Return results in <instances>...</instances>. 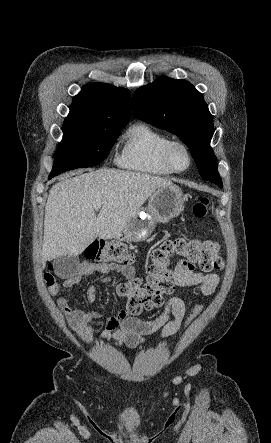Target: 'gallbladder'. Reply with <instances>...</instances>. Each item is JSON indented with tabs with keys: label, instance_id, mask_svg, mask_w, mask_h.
Listing matches in <instances>:
<instances>
[{
	"label": "gallbladder",
	"instance_id": "bac80fb5",
	"mask_svg": "<svg viewBox=\"0 0 271 443\" xmlns=\"http://www.w3.org/2000/svg\"><path fill=\"white\" fill-rule=\"evenodd\" d=\"M73 257V252L68 251L65 255H60V257L54 259V271L59 278H70L72 273H76L77 269H81V260H71Z\"/></svg>",
	"mask_w": 271,
	"mask_h": 443
}]
</instances>
